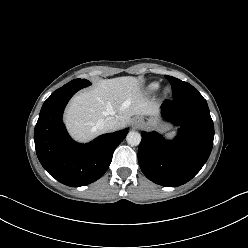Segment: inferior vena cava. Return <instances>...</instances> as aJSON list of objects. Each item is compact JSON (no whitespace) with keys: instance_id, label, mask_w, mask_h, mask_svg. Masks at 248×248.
Instances as JSON below:
<instances>
[{"instance_id":"inferior-vena-cava-1","label":"inferior vena cava","mask_w":248,"mask_h":248,"mask_svg":"<svg viewBox=\"0 0 248 248\" xmlns=\"http://www.w3.org/2000/svg\"><path fill=\"white\" fill-rule=\"evenodd\" d=\"M97 126L105 132H112L119 128V121L115 117L109 116L99 120Z\"/></svg>"}]
</instances>
